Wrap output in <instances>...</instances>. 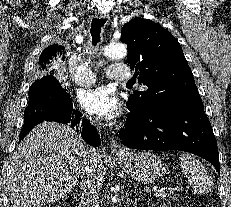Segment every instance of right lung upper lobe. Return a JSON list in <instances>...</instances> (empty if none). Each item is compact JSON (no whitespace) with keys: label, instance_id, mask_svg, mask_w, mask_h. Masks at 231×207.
I'll use <instances>...</instances> for the list:
<instances>
[{"label":"right lung upper lobe","instance_id":"obj_1","mask_svg":"<svg viewBox=\"0 0 231 207\" xmlns=\"http://www.w3.org/2000/svg\"><path fill=\"white\" fill-rule=\"evenodd\" d=\"M64 51V47L59 45V44H54L51 46H48L44 51L42 52L38 66L39 70H46L47 68L50 67V65L54 62H57L60 59L61 53ZM63 57L62 59H64ZM46 77H51L50 75L45 76Z\"/></svg>","mask_w":231,"mask_h":207}]
</instances>
